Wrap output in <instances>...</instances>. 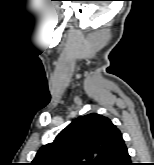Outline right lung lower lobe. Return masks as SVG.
<instances>
[{
    "label": "right lung lower lobe",
    "mask_w": 154,
    "mask_h": 165,
    "mask_svg": "<svg viewBox=\"0 0 154 165\" xmlns=\"http://www.w3.org/2000/svg\"><path fill=\"white\" fill-rule=\"evenodd\" d=\"M100 165H132L122 134L110 147V152Z\"/></svg>",
    "instance_id": "1"
}]
</instances>
